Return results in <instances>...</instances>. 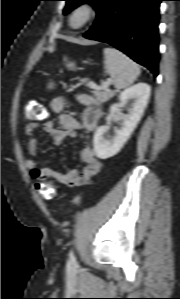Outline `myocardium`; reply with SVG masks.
<instances>
[{
    "label": "myocardium",
    "instance_id": "myocardium-1",
    "mask_svg": "<svg viewBox=\"0 0 180 299\" xmlns=\"http://www.w3.org/2000/svg\"><path fill=\"white\" fill-rule=\"evenodd\" d=\"M78 14H82L83 18L79 23H75L74 19ZM97 14L96 6L88 1L80 2L75 5L69 13L68 24L74 30H80L89 25Z\"/></svg>",
    "mask_w": 180,
    "mask_h": 299
}]
</instances>
